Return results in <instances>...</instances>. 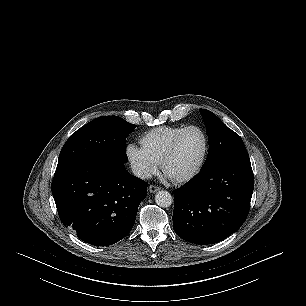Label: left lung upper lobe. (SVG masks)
<instances>
[{
    "label": "left lung upper lobe",
    "instance_id": "5c2ea615",
    "mask_svg": "<svg viewBox=\"0 0 306 306\" xmlns=\"http://www.w3.org/2000/svg\"><path fill=\"white\" fill-rule=\"evenodd\" d=\"M206 126L209 141V153L202 170L217 163L249 158L248 152L240 136L228 128L209 110L199 109Z\"/></svg>",
    "mask_w": 306,
    "mask_h": 306
}]
</instances>
